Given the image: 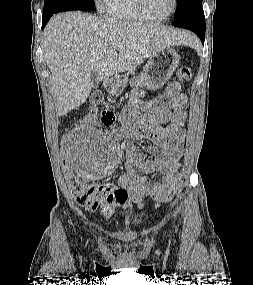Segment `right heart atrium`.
Returning a JSON list of instances; mask_svg holds the SVG:
<instances>
[{
  "label": "right heart atrium",
  "instance_id": "right-heart-atrium-1",
  "mask_svg": "<svg viewBox=\"0 0 253 285\" xmlns=\"http://www.w3.org/2000/svg\"><path fill=\"white\" fill-rule=\"evenodd\" d=\"M95 1L98 5H102L104 3V0H95Z\"/></svg>",
  "mask_w": 253,
  "mask_h": 285
}]
</instances>
